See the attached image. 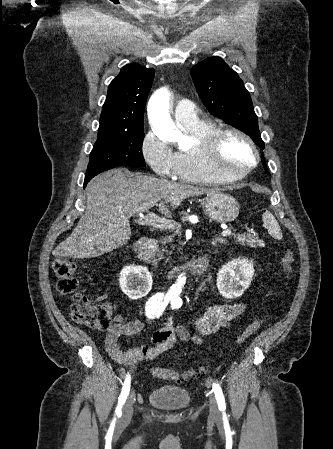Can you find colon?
<instances>
[{
    "mask_svg": "<svg viewBox=\"0 0 333 449\" xmlns=\"http://www.w3.org/2000/svg\"><path fill=\"white\" fill-rule=\"evenodd\" d=\"M295 262L293 252L285 248L281 254V264L286 274H290ZM52 270L57 278V290L63 294H72L71 304L72 319L84 324L91 329L103 331L110 328L112 307L108 303H96L90 297L77 293L79 280L76 277V264L68 257L57 256L52 261ZM261 319L252 320L236 339L238 345L243 344L253 333L257 331ZM153 376L161 379L180 380L187 379L200 373V370L176 372L162 367L151 369Z\"/></svg>",
    "mask_w": 333,
    "mask_h": 449,
    "instance_id": "obj_1",
    "label": "colon"
}]
</instances>
